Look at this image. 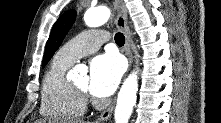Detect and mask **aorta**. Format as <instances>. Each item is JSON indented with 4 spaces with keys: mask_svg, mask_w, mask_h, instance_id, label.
I'll use <instances>...</instances> for the list:
<instances>
[{
    "mask_svg": "<svg viewBox=\"0 0 221 123\" xmlns=\"http://www.w3.org/2000/svg\"><path fill=\"white\" fill-rule=\"evenodd\" d=\"M110 18L107 7L88 9L84 14V21L89 27H97L106 23ZM138 91L137 72L133 71L124 81L117 98L115 107V123H128L136 103Z\"/></svg>",
    "mask_w": 221,
    "mask_h": 123,
    "instance_id": "1",
    "label": "aorta"
}]
</instances>
